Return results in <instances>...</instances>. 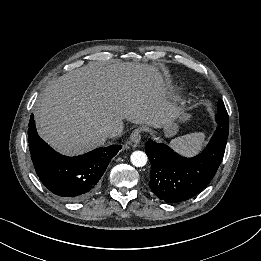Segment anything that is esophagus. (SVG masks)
I'll return each instance as SVG.
<instances>
[{"label":"esophagus","mask_w":261,"mask_h":261,"mask_svg":"<svg viewBox=\"0 0 261 261\" xmlns=\"http://www.w3.org/2000/svg\"><path fill=\"white\" fill-rule=\"evenodd\" d=\"M130 140L133 144L137 145L141 141V130L135 129L130 135Z\"/></svg>","instance_id":"obj_1"}]
</instances>
